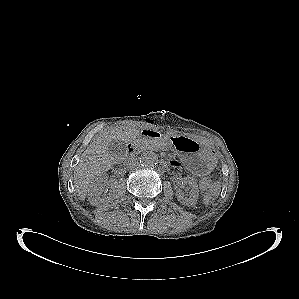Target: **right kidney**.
Masks as SVG:
<instances>
[{"instance_id": "obj_1", "label": "right kidney", "mask_w": 299, "mask_h": 299, "mask_svg": "<svg viewBox=\"0 0 299 299\" xmlns=\"http://www.w3.org/2000/svg\"><path fill=\"white\" fill-rule=\"evenodd\" d=\"M114 183L110 184L109 178L106 174L98 176L88 188V199L91 205L100 206L104 201H112V191L109 192V196L103 197V192L107 191V187L110 186L114 190Z\"/></svg>"}]
</instances>
